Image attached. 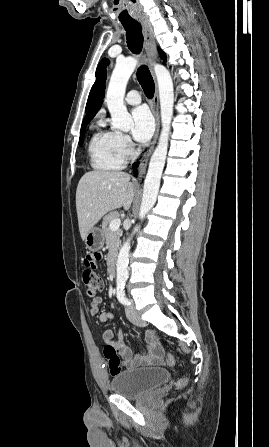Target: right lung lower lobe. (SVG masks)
Segmentation results:
<instances>
[{"label": "right lung lower lobe", "mask_w": 269, "mask_h": 447, "mask_svg": "<svg viewBox=\"0 0 269 447\" xmlns=\"http://www.w3.org/2000/svg\"><path fill=\"white\" fill-rule=\"evenodd\" d=\"M137 166H138V163H135V164L133 165V168H137ZM134 172H136V171H134Z\"/></svg>", "instance_id": "98d812e1"}]
</instances>
